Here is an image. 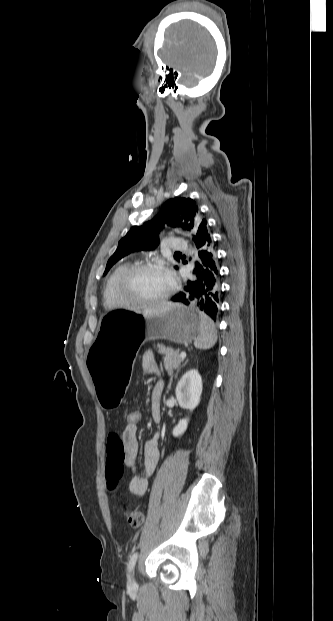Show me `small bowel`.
Returning <instances> with one entry per match:
<instances>
[{"label":"small bowel","instance_id":"1","mask_svg":"<svg viewBox=\"0 0 333 621\" xmlns=\"http://www.w3.org/2000/svg\"><path fill=\"white\" fill-rule=\"evenodd\" d=\"M141 367L145 374L157 376L158 367L151 352H146L141 360ZM164 388V382L157 380L152 390L151 403L152 415L155 420L160 417V399ZM105 475L108 487L114 490L121 480L125 467L135 472L139 455L137 441V425L126 424L118 434H110L106 445ZM144 472L142 475L133 474L129 481V491L135 496H143L149 485V477L154 472L159 461V448L155 439L145 443L143 449Z\"/></svg>","mask_w":333,"mask_h":621}]
</instances>
